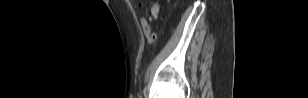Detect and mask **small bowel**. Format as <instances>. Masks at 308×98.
<instances>
[{"mask_svg": "<svg viewBox=\"0 0 308 98\" xmlns=\"http://www.w3.org/2000/svg\"><path fill=\"white\" fill-rule=\"evenodd\" d=\"M140 24H141L142 31L146 35V37L152 33L149 22L145 17L140 18Z\"/></svg>", "mask_w": 308, "mask_h": 98, "instance_id": "obj_1", "label": "small bowel"}]
</instances>
